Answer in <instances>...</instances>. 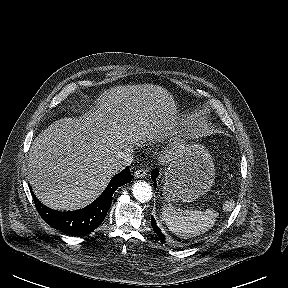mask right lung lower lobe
Masks as SVG:
<instances>
[{
	"label": "right lung lower lobe",
	"mask_w": 288,
	"mask_h": 288,
	"mask_svg": "<svg viewBox=\"0 0 288 288\" xmlns=\"http://www.w3.org/2000/svg\"><path fill=\"white\" fill-rule=\"evenodd\" d=\"M132 180L129 168L114 176L104 192L90 205L77 211L60 212L43 206L33 195L40 216L53 228L72 236H83L95 230L105 219L118 187Z\"/></svg>",
	"instance_id": "right-lung-lower-lobe-1"
}]
</instances>
